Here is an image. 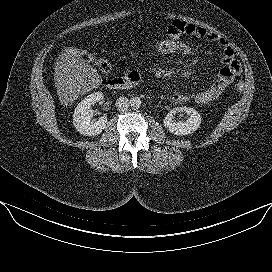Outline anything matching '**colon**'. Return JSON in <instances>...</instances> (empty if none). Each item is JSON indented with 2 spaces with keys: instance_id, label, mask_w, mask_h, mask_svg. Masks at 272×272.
Returning a JSON list of instances; mask_svg holds the SVG:
<instances>
[{
  "instance_id": "1",
  "label": "colon",
  "mask_w": 272,
  "mask_h": 272,
  "mask_svg": "<svg viewBox=\"0 0 272 272\" xmlns=\"http://www.w3.org/2000/svg\"><path fill=\"white\" fill-rule=\"evenodd\" d=\"M149 50L156 55L167 58H178L190 54V48L185 41L168 36L154 41L149 45ZM63 52L66 57L93 63L103 73H108L111 70V65L107 60L96 59L93 54L86 50L70 47ZM235 88L239 92L243 91L244 83L238 82Z\"/></svg>"
}]
</instances>
